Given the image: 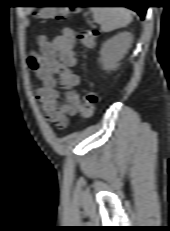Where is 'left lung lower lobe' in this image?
<instances>
[{
	"instance_id": "0a47b994",
	"label": "left lung lower lobe",
	"mask_w": 170,
	"mask_h": 231,
	"mask_svg": "<svg viewBox=\"0 0 170 231\" xmlns=\"http://www.w3.org/2000/svg\"><path fill=\"white\" fill-rule=\"evenodd\" d=\"M126 3L130 4L126 7L136 11L140 15L141 19H144L147 7L143 5L141 0H130Z\"/></svg>"
}]
</instances>
